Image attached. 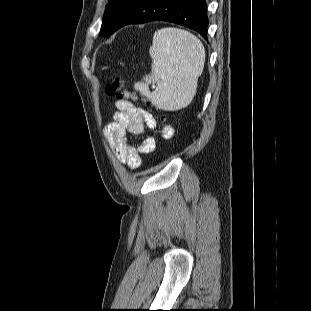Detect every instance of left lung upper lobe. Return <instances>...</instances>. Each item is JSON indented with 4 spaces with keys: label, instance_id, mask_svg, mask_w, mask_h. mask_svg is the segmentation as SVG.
<instances>
[{
    "label": "left lung upper lobe",
    "instance_id": "left-lung-upper-lobe-1",
    "mask_svg": "<svg viewBox=\"0 0 311 311\" xmlns=\"http://www.w3.org/2000/svg\"><path fill=\"white\" fill-rule=\"evenodd\" d=\"M128 1L129 0H108L100 31L102 36H109L113 33L119 14Z\"/></svg>",
    "mask_w": 311,
    "mask_h": 311
}]
</instances>
